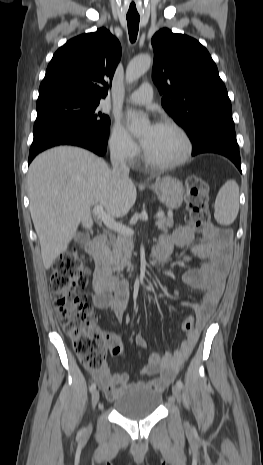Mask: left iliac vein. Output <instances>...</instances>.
I'll use <instances>...</instances> for the list:
<instances>
[{
	"instance_id": "left-iliac-vein-1",
	"label": "left iliac vein",
	"mask_w": 263,
	"mask_h": 465,
	"mask_svg": "<svg viewBox=\"0 0 263 465\" xmlns=\"http://www.w3.org/2000/svg\"><path fill=\"white\" fill-rule=\"evenodd\" d=\"M172 392H173V395L176 398L177 402L180 404V402H181V389L179 388V386L177 384L173 385Z\"/></svg>"
}]
</instances>
